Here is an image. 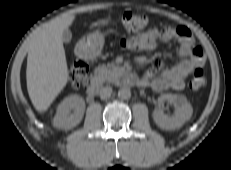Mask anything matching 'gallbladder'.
Returning a JSON list of instances; mask_svg holds the SVG:
<instances>
[{
    "instance_id": "1",
    "label": "gallbladder",
    "mask_w": 231,
    "mask_h": 170,
    "mask_svg": "<svg viewBox=\"0 0 231 170\" xmlns=\"http://www.w3.org/2000/svg\"><path fill=\"white\" fill-rule=\"evenodd\" d=\"M62 39H63V42L66 44H68L71 41L72 33L70 32V30L68 29L64 30Z\"/></svg>"
}]
</instances>
